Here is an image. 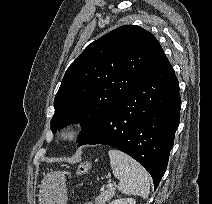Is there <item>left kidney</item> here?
Listing matches in <instances>:
<instances>
[{
    "label": "left kidney",
    "instance_id": "5707ae66",
    "mask_svg": "<svg viewBox=\"0 0 212 204\" xmlns=\"http://www.w3.org/2000/svg\"><path fill=\"white\" fill-rule=\"evenodd\" d=\"M109 204H136V201L133 198H120L112 201Z\"/></svg>",
    "mask_w": 212,
    "mask_h": 204
}]
</instances>
